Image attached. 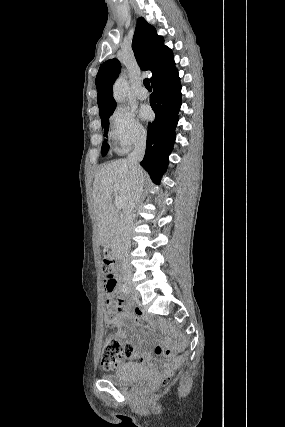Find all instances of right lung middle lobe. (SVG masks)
<instances>
[{
	"label": "right lung middle lobe",
	"instance_id": "1",
	"mask_svg": "<svg viewBox=\"0 0 285 427\" xmlns=\"http://www.w3.org/2000/svg\"><path fill=\"white\" fill-rule=\"evenodd\" d=\"M108 118L109 117H107L106 119H104V120H101L102 121V127L104 128V135L105 136H107V131H108V128H109V123H108ZM108 148H109V145L106 143V141L103 143V145H102V154L103 155H105L106 153H107V151H108Z\"/></svg>",
	"mask_w": 285,
	"mask_h": 427
}]
</instances>
